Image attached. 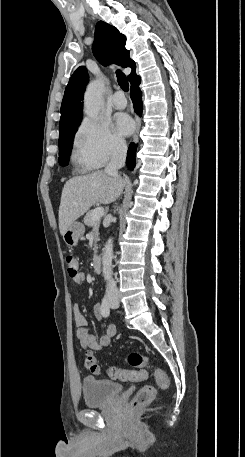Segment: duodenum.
<instances>
[{
    "mask_svg": "<svg viewBox=\"0 0 245 457\" xmlns=\"http://www.w3.org/2000/svg\"><path fill=\"white\" fill-rule=\"evenodd\" d=\"M102 265V258L100 255H95L92 259V268L95 272H99L101 270Z\"/></svg>",
    "mask_w": 245,
    "mask_h": 457,
    "instance_id": "1",
    "label": "duodenum"
}]
</instances>
